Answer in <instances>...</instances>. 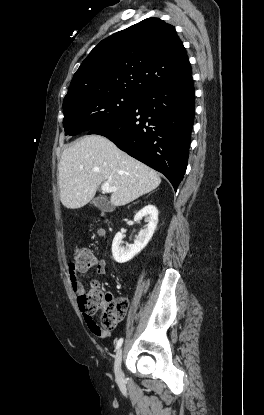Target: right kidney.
<instances>
[{"instance_id":"obj_1","label":"right kidney","mask_w":264,"mask_h":415,"mask_svg":"<svg viewBox=\"0 0 264 415\" xmlns=\"http://www.w3.org/2000/svg\"><path fill=\"white\" fill-rule=\"evenodd\" d=\"M142 218H144L147 225L140 231L134 240V244L126 243V246H122L123 235L121 232L116 233L112 243V254L116 262H128L144 249L151 240L158 223L157 208L151 204L145 206L134 216L136 222H139Z\"/></svg>"}]
</instances>
